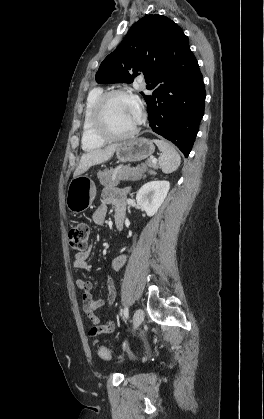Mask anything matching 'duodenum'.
<instances>
[{"label": "duodenum", "instance_id": "duodenum-1", "mask_svg": "<svg viewBox=\"0 0 264 419\" xmlns=\"http://www.w3.org/2000/svg\"><path fill=\"white\" fill-rule=\"evenodd\" d=\"M115 225L118 229H122L124 225V218L121 216H117L115 218Z\"/></svg>", "mask_w": 264, "mask_h": 419}]
</instances>
